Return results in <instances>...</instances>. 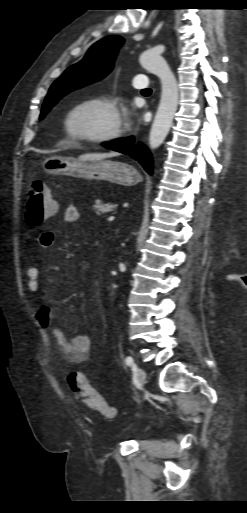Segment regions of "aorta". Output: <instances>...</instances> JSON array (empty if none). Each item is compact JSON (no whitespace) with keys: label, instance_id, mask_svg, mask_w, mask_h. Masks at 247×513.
Masks as SVG:
<instances>
[{"label":"aorta","instance_id":"1","mask_svg":"<svg viewBox=\"0 0 247 513\" xmlns=\"http://www.w3.org/2000/svg\"><path fill=\"white\" fill-rule=\"evenodd\" d=\"M139 62L161 82V98L149 134L150 148L156 149L164 142L172 126L178 106V84L169 65L160 54L145 51L141 54Z\"/></svg>","mask_w":247,"mask_h":513}]
</instances>
